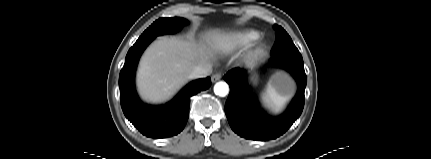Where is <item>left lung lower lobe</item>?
I'll return each mask as SVG.
<instances>
[{
  "mask_svg": "<svg viewBox=\"0 0 431 159\" xmlns=\"http://www.w3.org/2000/svg\"><path fill=\"white\" fill-rule=\"evenodd\" d=\"M269 64L289 71L298 84V91L288 109L278 117L268 116L252 96L246 83V70L234 68L223 78L230 86L225 112L232 130L255 141H268L283 135L301 115L304 107L306 74L302 57H272Z\"/></svg>",
  "mask_w": 431,
  "mask_h": 159,
  "instance_id": "1",
  "label": "left lung lower lobe"
}]
</instances>
